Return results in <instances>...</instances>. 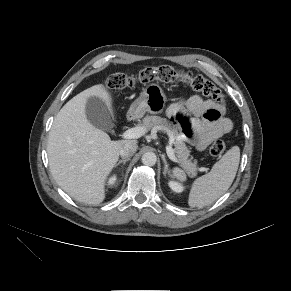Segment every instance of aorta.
Segmentation results:
<instances>
[{
    "instance_id": "obj_1",
    "label": "aorta",
    "mask_w": 291,
    "mask_h": 291,
    "mask_svg": "<svg viewBox=\"0 0 291 291\" xmlns=\"http://www.w3.org/2000/svg\"><path fill=\"white\" fill-rule=\"evenodd\" d=\"M142 163L146 166H153L156 164L157 157L153 152H146L142 155Z\"/></svg>"
}]
</instances>
